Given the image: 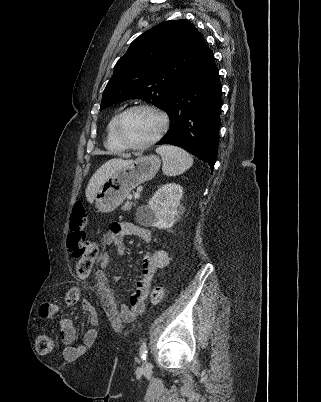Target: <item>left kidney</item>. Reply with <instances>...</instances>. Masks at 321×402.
<instances>
[{
	"label": "left kidney",
	"instance_id": "obj_1",
	"mask_svg": "<svg viewBox=\"0 0 321 402\" xmlns=\"http://www.w3.org/2000/svg\"><path fill=\"white\" fill-rule=\"evenodd\" d=\"M183 188L175 183L161 186L146 206L137 210V220L145 226L171 228L177 220Z\"/></svg>",
	"mask_w": 321,
	"mask_h": 402
}]
</instances>
